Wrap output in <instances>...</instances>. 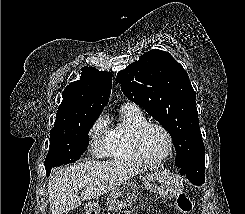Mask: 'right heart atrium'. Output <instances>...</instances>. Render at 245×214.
I'll use <instances>...</instances> for the list:
<instances>
[{"mask_svg":"<svg viewBox=\"0 0 245 214\" xmlns=\"http://www.w3.org/2000/svg\"><path fill=\"white\" fill-rule=\"evenodd\" d=\"M107 132V118L105 115H100L93 122L89 130L91 151L97 157H102L105 154V139Z\"/></svg>","mask_w":245,"mask_h":214,"instance_id":"1","label":"right heart atrium"}]
</instances>
